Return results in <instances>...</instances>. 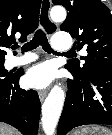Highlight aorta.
Listing matches in <instances>:
<instances>
[{
	"label": "aorta",
	"mask_w": 112,
	"mask_h": 135,
	"mask_svg": "<svg viewBox=\"0 0 112 135\" xmlns=\"http://www.w3.org/2000/svg\"><path fill=\"white\" fill-rule=\"evenodd\" d=\"M51 18L55 22L64 21L66 10L63 7H54L51 10ZM65 100L63 89L55 85L42 106V127L45 135H54L57 123L59 121Z\"/></svg>",
	"instance_id": "1"
}]
</instances>
